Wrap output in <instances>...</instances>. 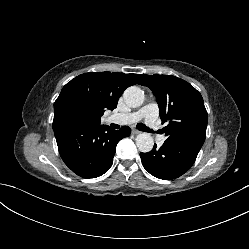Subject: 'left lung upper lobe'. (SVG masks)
<instances>
[{
  "mask_svg": "<svg viewBox=\"0 0 249 249\" xmlns=\"http://www.w3.org/2000/svg\"><path fill=\"white\" fill-rule=\"evenodd\" d=\"M140 85L149 87L156 97L166 143H187L201 148L208 115L201 94L188 82L172 75H145Z\"/></svg>",
  "mask_w": 249,
  "mask_h": 249,
  "instance_id": "5c2ea615",
  "label": "left lung upper lobe"
}]
</instances>
